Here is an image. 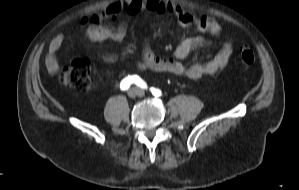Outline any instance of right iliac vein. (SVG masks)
Listing matches in <instances>:
<instances>
[{
	"label": "right iliac vein",
	"mask_w": 299,
	"mask_h": 190,
	"mask_svg": "<svg viewBox=\"0 0 299 190\" xmlns=\"http://www.w3.org/2000/svg\"><path fill=\"white\" fill-rule=\"evenodd\" d=\"M140 91L137 88H132L128 91V96L130 98H135L137 95H139Z\"/></svg>",
	"instance_id": "1"
}]
</instances>
